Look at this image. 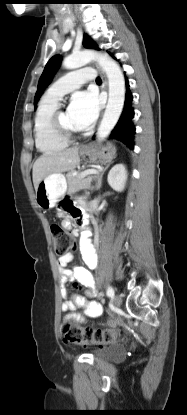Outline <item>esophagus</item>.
Wrapping results in <instances>:
<instances>
[{
    "label": "esophagus",
    "instance_id": "34e87169",
    "mask_svg": "<svg viewBox=\"0 0 187 415\" xmlns=\"http://www.w3.org/2000/svg\"><path fill=\"white\" fill-rule=\"evenodd\" d=\"M93 65H95V64H93ZM101 77H102L104 87L107 88V78H106V76L103 72H101Z\"/></svg>",
    "mask_w": 187,
    "mask_h": 415
}]
</instances>
